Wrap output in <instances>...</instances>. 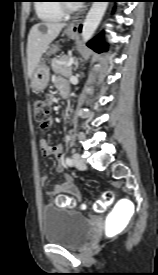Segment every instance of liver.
Segmentation results:
<instances>
[{"instance_id": "obj_1", "label": "liver", "mask_w": 158, "mask_h": 275, "mask_svg": "<svg viewBox=\"0 0 158 275\" xmlns=\"http://www.w3.org/2000/svg\"><path fill=\"white\" fill-rule=\"evenodd\" d=\"M65 23L43 22L33 25L28 35L27 70L31 78L48 45L59 35Z\"/></svg>"}]
</instances>
